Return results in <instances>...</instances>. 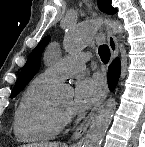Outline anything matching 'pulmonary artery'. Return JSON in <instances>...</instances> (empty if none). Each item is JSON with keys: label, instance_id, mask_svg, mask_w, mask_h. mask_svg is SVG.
Here are the masks:
<instances>
[{"label": "pulmonary artery", "instance_id": "e3ab8cb5", "mask_svg": "<svg viewBox=\"0 0 145 147\" xmlns=\"http://www.w3.org/2000/svg\"><path fill=\"white\" fill-rule=\"evenodd\" d=\"M89 54H72L48 66L43 72L48 78L59 82L64 78L83 71Z\"/></svg>", "mask_w": 145, "mask_h": 147}]
</instances>
